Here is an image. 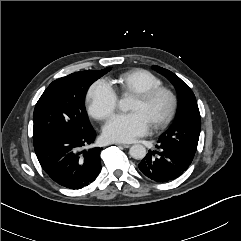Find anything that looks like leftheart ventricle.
Masks as SVG:
<instances>
[{"mask_svg": "<svg viewBox=\"0 0 241 241\" xmlns=\"http://www.w3.org/2000/svg\"><path fill=\"white\" fill-rule=\"evenodd\" d=\"M168 107V98L164 95H161L151 103H145L139 98L135 97L130 109L133 112H142L148 118L150 123L153 124L166 115Z\"/></svg>", "mask_w": 241, "mask_h": 241, "instance_id": "obj_1", "label": "left heart ventricle"}]
</instances>
